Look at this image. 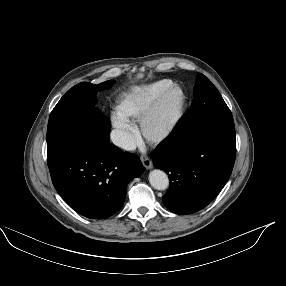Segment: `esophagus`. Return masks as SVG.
<instances>
[{"instance_id": "1", "label": "esophagus", "mask_w": 286, "mask_h": 286, "mask_svg": "<svg viewBox=\"0 0 286 286\" xmlns=\"http://www.w3.org/2000/svg\"><path fill=\"white\" fill-rule=\"evenodd\" d=\"M140 160L146 169H151L153 167V162L150 157L142 155Z\"/></svg>"}]
</instances>
